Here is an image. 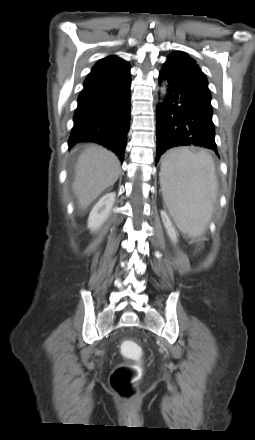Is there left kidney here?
I'll return each mask as SVG.
<instances>
[{
    "mask_svg": "<svg viewBox=\"0 0 255 440\" xmlns=\"http://www.w3.org/2000/svg\"><path fill=\"white\" fill-rule=\"evenodd\" d=\"M164 216H165V219H166L165 227L167 229V232H168L170 238L172 240L176 241V239H177L176 233H175L174 229L172 228L171 222L167 219L166 215H164Z\"/></svg>",
    "mask_w": 255,
    "mask_h": 440,
    "instance_id": "obj_1",
    "label": "left kidney"
}]
</instances>
